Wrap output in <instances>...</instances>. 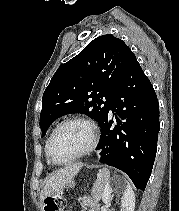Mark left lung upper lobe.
<instances>
[{
  "mask_svg": "<svg viewBox=\"0 0 179 211\" xmlns=\"http://www.w3.org/2000/svg\"><path fill=\"white\" fill-rule=\"evenodd\" d=\"M134 56L124 41L112 34L91 41L53 75L42 98V135L58 117L83 113L103 124L112 94Z\"/></svg>",
  "mask_w": 179,
  "mask_h": 211,
  "instance_id": "1",
  "label": "left lung upper lobe"
}]
</instances>
